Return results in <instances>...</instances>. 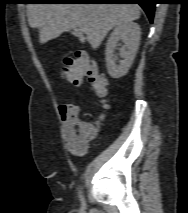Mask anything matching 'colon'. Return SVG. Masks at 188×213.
Returning a JSON list of instances; mask_svg holds the SVG:
<instances>
[{
    "label": "colon",
    "mask_w": 188,
    "mask_h": 213,
    "mask_svg": "<svg viewBox=\"0 0 188 213\" xmlns=\"http://www.w3.org/2000/svg\"><path fill=\"white\" fill-rule=\"evenodd\" d=\"M61 77L70 85L78 86L84 76L89 78L91 90L100 98L108 93L105 76L99 72L95 62L84 52H79L75 57H66L58 67ZM74 145L79 146L77 136H73Z\"/></svg>",
    "instance_id": "1"
}]
</instances>
